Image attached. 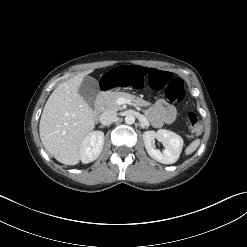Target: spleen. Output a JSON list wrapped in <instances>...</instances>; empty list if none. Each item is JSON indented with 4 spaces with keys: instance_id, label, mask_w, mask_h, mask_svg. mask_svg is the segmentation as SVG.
Masks as SVG:
<instances>
[{
    "instance_id": "spleen-1",
    "label": "spleen",
    "mask_w": 247,
    "mask_h": 247,
    "mask_svg": "<svg viewBox=\"0 0 247 247\" xmlns=\"http://www.w3.org/2000/svg\"><path fill=\"white\" fill-rule=\"evenodd\" d=\"M200 145V140L199 139H196L194 140L185 150V154L186 155H189L191 153H193L197 148L198 146Z\"/></svg>"
}]
</instances>
